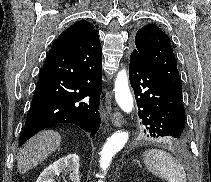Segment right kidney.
I'll return each instance as SVG.
<instances>
[{
	"instance_id": "right-kidney-1",
	"label": "right kidney",
	"mask_w": 211,
	"mask_h": 182,
	"mask_svg": "<svg viewBox=\"0 0 211 182\" xmlns=\"http://www.w3.org/2000/svg\"><path fill=\"white\" fill-rule=\"evenodd\" d=\"M79 160V156L76 154H68L58 159L44 169L37 182H56L55 177L61 173L69 174V182H80Z\"/></svg>"
}]
</instances>
